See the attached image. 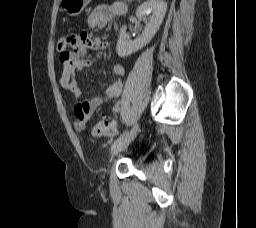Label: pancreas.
<instances>
[{
  "label": "pancreas",
  "instance_id": "obj_1",
  "mask_svg": "<svg viewBox=\"0 0 256 228\" xmlns=\"http://www.w3.org/2000/svg\"><path fill=\"white\" fill-rule=\"evenodd\" d=\"M128 2H131L132 0H127Z\"/></svg>",
  "mask_w": 256,
  "mask_h": 228
}]
</instances>
